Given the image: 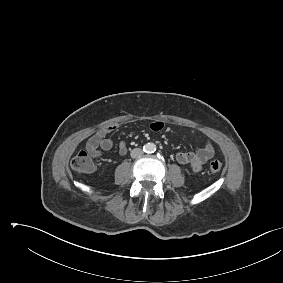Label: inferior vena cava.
<instances>
[{
	"label": "inferior vena cava",
	"instance_id": "1",
	"mask_svg": "<svg viewBox=\"0 0 283 283\" xmlns=\"http://www.w3.org/2000/svg\"><path fill=\"white\" fill-rule=\"evenodd\" d=\"M143 151L140 148H135L131 151L130 155L132 158H137L138 156L142 155Z\"/></svg>",
	"mask_w": 283,
	"mask_h": 283
}]
</instances>
